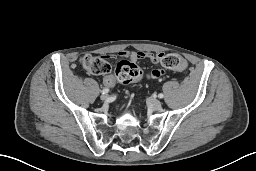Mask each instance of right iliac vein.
<instances>
[{"label": "right iliac vein", "instance_id": "right-iliac-vein-1", "mask_svg": "<svg viewBox=\"0 0 256 171\" xmlns=\"http://www.w3.org/2000/svg\"><path fill=\"white\" fill-rule=\"evenodd\" d=\"M100 99L101 100H107L108 99V95L107 94H102L101 96H100Z\"/></svg>", "mask_w": 256, "mask_h": 171}]
</instances>
